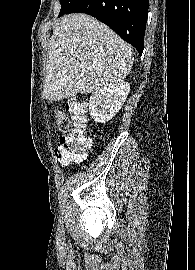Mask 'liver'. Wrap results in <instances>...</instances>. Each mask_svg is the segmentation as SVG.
<instances>
[{"instance_id":"1","label":"liver","mask_w":195,"mask_h":270,"mask_svg":"<svg viewBox=\"0 0 195 270\" xmlns=\"http://www.w3.org/2000/svg\"><path fill=\"white\" fill-rule=\"evenodd\" d=\"M133 61L132 47L108 26L83 13L66 15L49 41L44 97L60 101L117 84Z\"/></svg>"}]
</instances>
